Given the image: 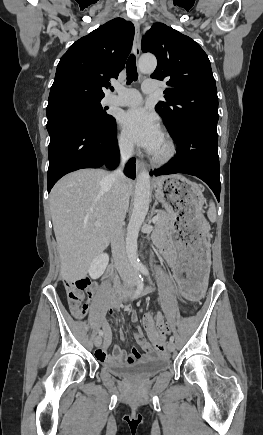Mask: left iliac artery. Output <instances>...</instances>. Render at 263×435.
<instances>
[{
	"mask_svg": "<svg viewBox=\"0 0 263 435\" xmlns=\"http://www.w3.org/2000/svg\"><path fill=\"white\" fill-rule=\"evenodd\" d=\"M140 271H141V273L142 274H144L145 276H148L149 275V271H148V269L146 268V266H144V265H140ZM174 341V336H171L170 337V342H173Z\"/></svg>",
	"mask_w": 263,
	"mask_h": 435,
	"instance_id": "1",
	"label": "left iliac artery"
}]
</instances>
